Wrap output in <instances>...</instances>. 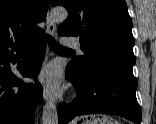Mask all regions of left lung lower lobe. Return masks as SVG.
<instances>
[{
  "mask_svg": "<svg viewBox=\"0 0 156 124\" xmlns=\"http://www.w3.org/2000/svg\"><path fill=\"white\" fill-rule=\"evenodd\" d=\"M66 78L74 85L77 98L71 104H60L59 124L84 114H115L141 124L142 114L135 94L137 81L133 75L108 67L77 76L67 67Z\"/></svg>",
  "mask_w": 156,
  "mask_h": 124,
  "instance_id": "1",
  "label": "left lung lower lobe"
}]
</instances>
